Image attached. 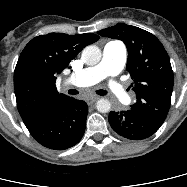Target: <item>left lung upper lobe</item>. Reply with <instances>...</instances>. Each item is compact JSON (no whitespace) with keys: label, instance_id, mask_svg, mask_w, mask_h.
<instances>
[{"label":"left lung upper lobe","instance_id":"1","mask_svg":"<svg viewBox=\"0 0 187 187\" xmlns=\"http://www.w3.org/2000/svg\"><path fill=\"white\" fill-rule=\"evenodd\" d=\"M104 37L122 40L128 50L127 70L133 79L136 103L131 110L163 124L171 103L173 71L161 42L151 33L119 23L98 31Z\"/></svg>","mask_w":187,"mask_h":187}]
</instances>
